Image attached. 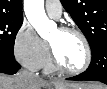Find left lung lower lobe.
Returning a JSON list of instances; mask_svg holds the SVG:
<instances>
[{
	"label": "left lung lower lobe",
	"instance_id": "left-lung-lower-lobe-1",
	"mask_svg": "<svg viewBox=\"0 0 107 89\" xmlns=\"http://www.w3.org/2000/svg\"><path fill=\"white\" fill-rule=\"evenodd\" d=\"M67 80L100 81L107 84V42L92 50V60L85 72Z\"/></svg>",
	"mask_w": 107,
	"mask_h": 89
}]
</instances>
